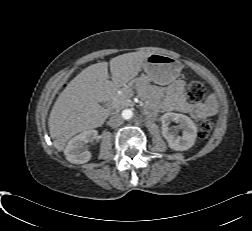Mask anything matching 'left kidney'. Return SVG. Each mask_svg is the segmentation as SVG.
Here are the masks:
<instances>
[{
    "instance_id": "5707ae66",
    "label": "left kidney",
    "mask_w": 252,
    "mask_h": 231,
    "mask_svg": "<svg viewBox=\"0 0 252 231\" xmlns=\"http://www.w3.org/2000/svg\"><path fill=\"white\" fill-rule=\"evenodd\" d=\"M165 118L179 123V128L182 129V136L171 133L166 136L169 147L176 151L191 148L197 137V127L194 122L188 116L178 113H167Z\"/></svg>"
}]
</instances>
